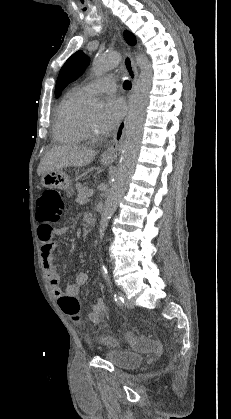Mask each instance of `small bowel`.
I'll return each mask as SVG.
<instances>
[{
    "instance_id": "small-bowel-1",
    "label": "small bowel",
    "mask_w": 231,
    "mask_h": 419,
    "mask_svg": "<svg viewBox=\"0 0 231 419\" xmlns=\"http://www.w3.org/2000/svg\"><path fill=\"white\" fill-rule=\"evenodd\" d=\"M67 230L68 228L66 226L54 228L49 223L41 224L37 230V235L41 242L40 255L42 264L49 279L52 293L58 299L64 295L77 298L81 287L88 281L87 272L81 271L76 274L74 281L68 284L65 290H62L60 287V277L54 265V253L57 247L54 237L65 235ZM105 314V301L102 298H98L92 305L91 311L88 313V319L93 324H99ZM132 341L134 344H138L141 339L133 337Z\"/></svg>"
}]
</instances>
